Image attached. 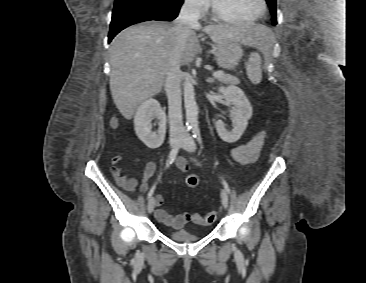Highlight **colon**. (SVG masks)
Masks as SVG:
<instances>
[{
    "label": "colon",
    "mask_w": 366,
    "mask_h": 283,
    "mask_svg": "<svg viewBox=\"0 0 366 283\" xmlns=\"http://www.w3.org/2000/svg\"><path fill=\"white\" fill-rule=\"evenodd\" d=\"M200 183V179L197 175H190L186 179V184L190 188H196ZM188 219H191L198 225H211L216 220V212L211 211L205 215L200 214H186Z\"/></svg>",
    "instance_id": "colon-1"
}]
</instances>
